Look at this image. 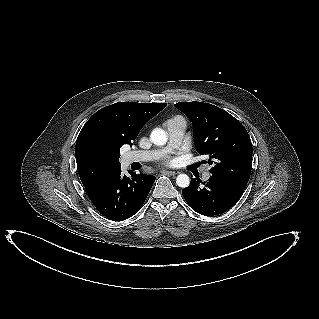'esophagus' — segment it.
I'll list each match as a JSON object with an SVG mask.
<instances>
[{"mask_svg": "<svg viewBox=\"0 0 319 319\" xmlns=\"http://www.w3.org/2000/svg\"><path fill=\"white\" fill-rule=\"evenodd\" d=\"M163 173L166 174V175L175 176V175H177L179 172H178V171L163 170Z\"/></svg>", "mask_w": 319, "mask_h": 319, "instance_id": "obj_1", "label": "esophagus"}]
</instances>
